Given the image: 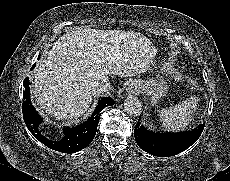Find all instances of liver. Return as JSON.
<instances>
[{
  "label": "liver",
  "instance_id": "obj_1",
  "mask_svg": "<svg viewBox=\"0 0 230 181\" xmlns=\"http://www.w3.org/2000/svg\"><path fill=\"white\" fill-rule=\"evenodd\" d=\"M155 52L147 38L132 32H68L35 69L33 98L46 117L76 121L92 103L94 83L145 72Z\"/></svg>",
  "mask_w": 230,
  "mask_h": 181
}]
</instances>
